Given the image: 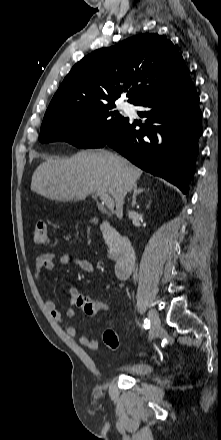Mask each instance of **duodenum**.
Here are the masks:
<instances>
[{"label": "duodenum", "mask_w": 221, "mask_h": 440, "mask_svg": "<svg viewBox=\"0 0 221 440\" xmlns=\"http://www.w3.org/2000/svg\"><path fill=\"white\" fill-rule=\"evenodd\" d=\"M101 230L104 238L112 243H116L121 249L122 254L115 266L116 276L123 280L127 278L135 264L136 254L130 243V240L126 236L119 234L116 228L107 222L101 224Z\"/></svg>", "instance_id": "obj_1"}]
</instances>
